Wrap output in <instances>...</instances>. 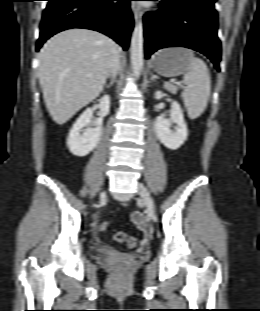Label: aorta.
<instances>
[{
    "label": "aorta",
    "mask_w": 260,
    "mask_h": 311,
    "mask_svg": "<svg viewBox=\"0 0 260 311\" xmlns=\"http://www.w3.org/2000/svg\"><path fill=\"white\" fill-rule=\"evenodd\" d=\"M131 67L133 74L139 77L143 70V27L140 21H136L131 39Z\"/></svg>",
    "instance_id": "762f6f07"
}]
</instances>
